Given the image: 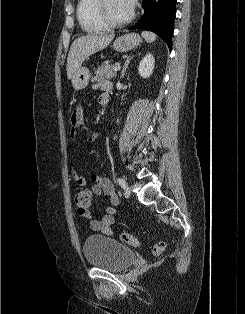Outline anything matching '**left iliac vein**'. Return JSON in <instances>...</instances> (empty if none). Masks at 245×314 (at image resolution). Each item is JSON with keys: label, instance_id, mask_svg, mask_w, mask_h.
<instances>
[{"label": "left iliac vein", "instance_id": "left-iliac-vein-1", "mask_svg": "<svg viewBox=\"0 0 245 314\" xmlns=\"http://www.w3.org/2000/svg\"><path fill=\"white\" fill-rule=\"evenodd\" d=\"M124 195L126 198H129L131 196V188L129 186H126L124 188Z\"/></svg>", "mask_w": 245, "mask_h": 314}]
</instances>
